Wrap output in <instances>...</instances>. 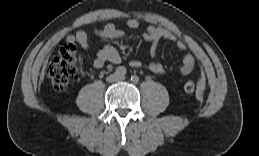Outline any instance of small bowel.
<instances>
[{"mask_svg":"<svg viewBox=\"0 0 259 156\" xmlns=\"http://www.w3.org/2000/svg\"><path fill=\"white\" fill-rule=\"evenodd\" d=\"M130 29H137L139 27V21L135 18H130L126 22ZM93 34L102 39H121L125 37V33L117 25L113 23L106 24L102 28L95 29ZM144 39L150 43V54L155 57L159 42L161 40L176 41V45L180 50L186 48V44L177 40L176 36L164 27L148 26L143 34ZM66 41L68 44H79L83 49L88 48V34L83 30L77 31L75 34L67 36ZM121 62V56L118 50L112 45L103 46L96 55L93 61L95 68H102L106 63L118 64ZM130 66L133 68L146 67L154 74H163L165 67L163 64L157 61H152L149 64H143L138 60H132ZM195 67L194 56L190 53L186 54L183 58L182 65L180 67V73L182 75L190 74Z\"/></svg>","mask_w":259,"mask_h":156,"instance_id":"small-bowel-1","label":"small bowel"}]
</instances>
